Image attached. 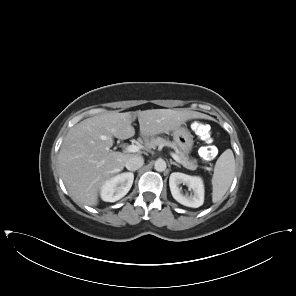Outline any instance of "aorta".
<instances>
[{"instance_id":"762f6f07","label":"aorta","mask_w":296,"mask_h":296,"mask_svg":"<svg viewBox=\"0 0 296 296\" xmlns=\"http://www.w3.org/2000/svg\"><path fill=\"white\" fill-rule=\"evenodd\" d=\"M166 162L163 159H158L155 161L154 168L158 172H163L166 170Z\"/></svg>"}]
</instances>
